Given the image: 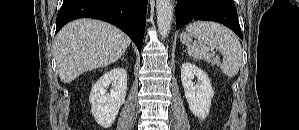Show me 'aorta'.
Wrapping results in <instances>:
<instances>
[{
  "label": "aorta",
  "instance_id": "762f6f07",
  "mask_svg": "<svg viewBox=\"0 0 299 130\" xmlns=\"http://www.w3.org/2000/svg\"><path fill=\"white\" fill-rule=\"evenodd\" d=\"M157 26L162 38H166L173 20L172 0H156Z\"/></svg>",
  "mask_w": 299,
  "mask_h": 130
}]
</instances>
